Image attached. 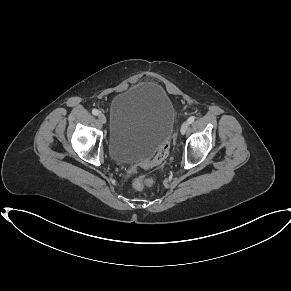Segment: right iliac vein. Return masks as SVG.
<instances>
[{"label":"right iliac vein","mask_w":291,"mask_h":291,"mask_svg":"<svg viewBox=\"0 0 291 291\" xmlns=\"http://www.w3.org/2000/svg\"><path fill=\"white\" fill-rule=\"evenodd\" d=\"M98 119L100 120L101 123L105 124L106 123V117L104 114L100 113L98 115Z\"/></svg>","instance_id":"right-iliac-vein-1"}]
</instances>
